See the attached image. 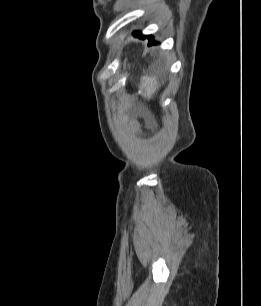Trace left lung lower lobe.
I'll use <instances>...</instances> for the list:
<instances>
[{
    "label": "left lung lower lobe",
    "instance_id": "obj_1",
    "mask_svg": "<svg viewBox=\"0 0 261 306\" xmlns=\"http://www.w3.org/2000/svg\"><path fill=\"white\" fill-rule=\"evenodd\" d=\"M133 36L139 37V38H141V39L148 38V40H149V45L156 43V42H154L152 36H150V35H147V36H146V35H142L141 32H134V33H133Z\"/></svg>",
    "mask_w": 261,
    "mask_h": 306
}]
</instances>
